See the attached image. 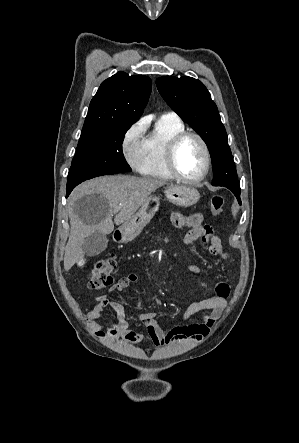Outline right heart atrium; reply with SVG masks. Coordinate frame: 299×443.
<instances>
[{"instance_id":"1","label":"right heart atrium","mask_w":299,"mask_h":443,"mask_svg":"<svg viewBox=\"0 0 299 443\" xmlns=\"http://www.w3.org/2000/svg\"><path fill=\"white\" fill-rule=\"evenodd\" d=\"M145 131L146 124L140 120L127 128L121 140L122 153L135 170H140L143 160Z\"/></svg>"}]
</instances>
